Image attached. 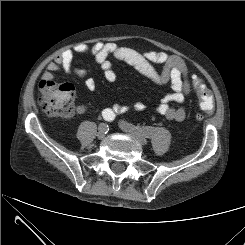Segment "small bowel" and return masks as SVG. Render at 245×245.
<instances>
[{
    "instance_id": "small-bowel-1",
    "label": "small bowel",
    "mask_w": 245,
    "mask_h": 245,
    "mask_svg": "<svg viewBox=\"0 0 245 245\" xmlns=\"http://www.w3.org/2000/svg\"><path fill=\"white\" fill-rule=\"evenodd\" d=\"M87 52L94 54L95 61L100 65L107 82L113 83L117 79L113 63L110 60V58H114L133 67L155 84L170 83L171 92L156 106L155 110L168 120L179 122L185 119L186 110L181 104L190 94L191 85L188 78L187 65L177 55H168L157 51L138 52L115 43L95 42L92 45L80 44L74 50H65L54 61L48 63L42 75L43 80H54L53 73L61 70L66 74L85 78L86 89L94 91L96 83L94 79L88 77L87 70L73 65L74 53L83 54ZM157 64L162 65L161 70L156 69L155 65ZM171 103L179 104V106H173ZM145 109L146 105L144 102L135 101L131 104L115 103L111 107L104 109L103 112H107L106 114L113 120L116 115L124 114L129 110L141 112ZM86 110V106L82 104L75 108L77 114H83Z\"/></svg>"
}]
</instances>
